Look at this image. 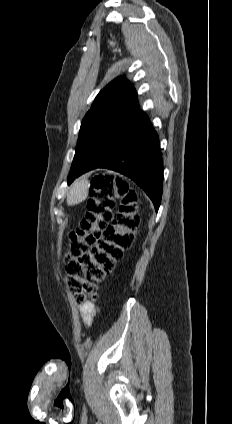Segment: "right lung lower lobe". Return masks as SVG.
Returning a JSON list of instances; mask_svg holds the SVG:
<instances>
[{"label":"right lung lower lobe","mask_w":232,"mask_h":424,"mask_svg":"<svg viewBox=\"0 0 232 424\" xmlns=\"http://www.w3.org/2000/svg\"><path fill=\"white\" fill-rule=\"evenodd\" d=\"M95 168L117 171L136 182L152 200L156 212L163 188V160L159 138L148 116L138 107L133 118L110 133L84 164L76 177Z\"/></svg>","instance_id":"98d812e1"}]
</instances>
